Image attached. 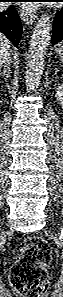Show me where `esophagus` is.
I'll return each mask as SVG.
<instances>
[{
  "instance_id": "obj_1",
  "label": "esophagus",
  "mask_w": 63,
  "mask_h": 297,
  "mask_svg": "<svg viewBox=\"0 0 63 297\" xmlns=\"http://www.w3.org/2000/svg\"><path fill=\"white\" fill-rule=\"evenodd\" d=\"M21 18L26 24H32L36 19V14L31 12V10H22L21 11Z\"/></svg>"
}]
</instances>
